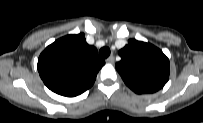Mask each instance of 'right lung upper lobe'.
Returning a JSON list of instances; mask_svg holds the SVG:
<instances>
[{"instance_id":"cb5924a9","label":"right lung upper lobe","mask_w":203,"mask_h":123,"mask_svg":"<svg viewBox=\"0 0 203 123\" xmlns=\"http://www.w3.org/2000/svg\"><path fill=\"white\" fill-rule=\"evenodd\" d=\"M104 64L97 49L88 45L84 34L80 33L64 36L49 45L40 54L37 67L50 90L74 97L93 85Z\"/></svg>"}]
</instances>
